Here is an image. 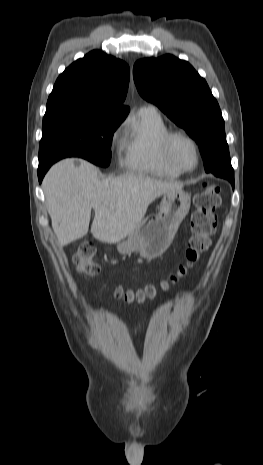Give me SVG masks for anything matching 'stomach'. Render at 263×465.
<instances>
[{
    "label": "stomach",
    "mask_w": 263,
    "mask_h": 465,
    "mask_svg": "<svg viewBox=\"0 0 263 465\" xmlns=\"http://www.w3.org/2000/svg\"><path fill=\"white\" fill-rule=\"evenodd\" d=\"M190 196L180 191L163 195L157 215L143 218L128 238L117 245L122 255L138 252L151 260L162 255L171 244L176 231L190 209Z\"/></svg>",
    "instance_id": "1"
}]
</instances>
